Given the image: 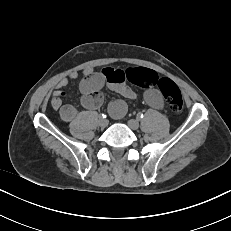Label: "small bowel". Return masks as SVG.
Returning a JSON list of instances; mask_svg holds the SVG:
<instances>
[{
  "label": "small bowel",
  "instance_id": "small-bowel-1",
  "mask_svg": "<svg viewBox=\"0 0 231 231\" xmlns=\"http://www.w3.org/2000/svg\"><path fill=\"white\" fill-rule=\"evenodd\" d=\"M82 73L83 78L80 81L79 88L82 94L81 104L85 109L95 110L102 105L104 98L101 90L104 86L126 99H137L136 92L127 84L124 70L104 68L100 71H95L88 67ZM78 77L79 74L73 71L61 78L57 82L52 95L51 106L54 110L59 111L61 120L66 123L75 119L78 111L74 105L62 103V99L66 96L64 89L76 81ZM143 98L152 108L162 109L164 107L163 96L157 89H147L143 94ZM109 111L114 118H120L125 114L126 108L122 102H114L110 104Z\"/></svg>",
  "mask_w": 231,
  "mask_h": 231
}]
</instances>
